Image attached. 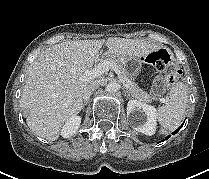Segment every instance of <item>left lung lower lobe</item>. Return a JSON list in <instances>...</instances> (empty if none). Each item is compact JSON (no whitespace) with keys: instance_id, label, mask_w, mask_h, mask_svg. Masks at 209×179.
Here are the masks:
<instances>
[{"instance_id":"left-lung-lower-lobe-1","label":"left lung lower lobe","mask_w":209,"mask_h":179,"mask_svg":"<svg viewBox=\"0 0 209 179\" xmlns=\"http://www.w3.org/2000/svg\"><path fill=\"white\" fill-rule=\"evenodd\" d=\"M183 126V124L176 130L174 131L172 134L175 135L179 130L180 128ZM171 135L167 136L165 140H167Z\"/></svg>"}]
</instances>
